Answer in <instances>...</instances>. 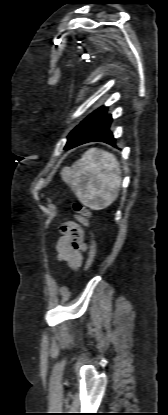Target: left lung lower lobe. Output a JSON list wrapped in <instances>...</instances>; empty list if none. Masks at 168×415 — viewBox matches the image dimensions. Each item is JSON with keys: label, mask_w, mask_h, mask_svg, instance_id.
Listing matches in <instances>:
<instances>
[{"label": "left lung lower lobe", "mask_w": 168, "mask_h": 415, "mask_svg": "<svg viewBox=\"0 0 168 415\" xmlns=\"http://www.w3.org/2000/svg\"><path fill=\"white\" fill-rule=\"evenodd\" d=\"M112 122L111 114H107V108H105L89 125V127L81 134L75 143L69 148L89 143V142H105L112 146H115L116 139L113 137L110 131V125ZM67 149V150H69Z\"/></svg>", "instance_id": "obj_1"}]
</instances>
